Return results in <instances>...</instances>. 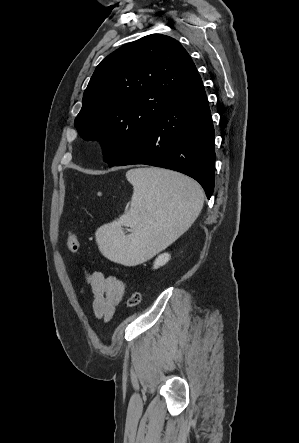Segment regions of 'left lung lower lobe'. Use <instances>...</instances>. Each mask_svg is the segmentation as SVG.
Returning <instances> with one entry per match:
<instances>
[{
    "label": "left lung lower lobe",
    "mask_w": 299,
    "mask_h": 443,
    "mask_svg": "<svg viewBox=\"0 0 299 443\" xmlns=\"http://www.w3.org/2000/svg\"><path fill=\"white\" fill-rule=\"evenodd\" d=\"M214 163V128L196 72L114 166L146 164L184 173L201 184L209 199L214 190Z\"/></svg>",
    "instance_id": "obj_1"
}]
</instances>
